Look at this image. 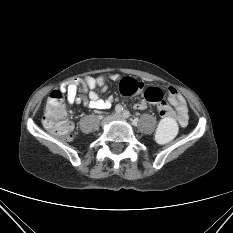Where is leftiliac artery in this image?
Here are the masks:
<instances>
[{
	"mask_svg": "<svg viewBox=\"0 0 233 233\" xmlns=\"http://www.w3.org/2000/svg\"><path fill=\"white\" fill-rule=\"evenodd\" d=\"M123 117H124V118H129V117H130V112H129L128 110H125V111L123 112Z\"/></svg>",
	"mask_w": 233,
	"mask_h": 233,
	"instance_id": "obj_1",
	"label": "left iliac artery"
}]
</instances>
